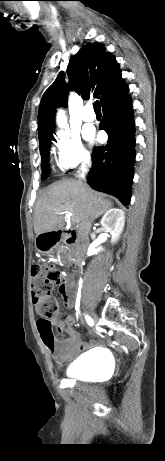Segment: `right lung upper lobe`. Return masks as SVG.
<instances>
[{"label": "right lung upper lobe", "instance_id": "cb5924a9", "mask_svg": "<svg viewBox=\"0 0 165 461\" xmlns=\"http://www.w3.org/2000/svg\"><path fill=\"white\" fill-rule=\"evenodd\" d=\"M67 84L64 73L60 72L54 83L42 96L38 111L39 138L54 132L55 109L67 103L69 90L100 99L102 108L117 101L129 91L115 57L106 51L103 44L87 43L69 61Z\"/></svg>", "mask_w": 165, "mask_h": 461}]
</instances>
